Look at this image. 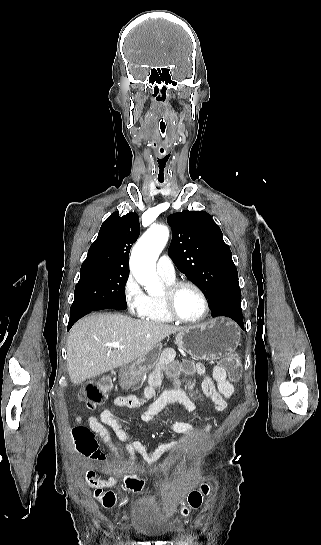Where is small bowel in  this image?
<instances>
[{
    "label": "small bowel",
    "mask_w": 321,
    "mask_h": 545,
    "mask_svg": "<svg viewBox=\"0 0 321 545\" xmlns=\"http://www.w3.org/2000/svg\"><path fill=\"white\" fill-rule=\"evenodd\" d=\"M195 370L200 376H202L201 389L203 394L213 401V403L215 404V408L218 411H223L226 408L227 400L235 393L233 379L229 378L225 369L219 365L213 368L212 378L206 375L204 367L199 363L195 365ZM158 378V374L154 378H152L151 386L144 391L142 396H117L114 399V404L118 407H138L143 402L154 396V386L157 385ZM185 387L195 399L198 398V394L194 390V384L192 381L186 380ZM172 402L182 404L191 413L195 411V405L193 400L182 390L173 389L165 392L162 396H160L157 400L150 404L143 411L141 415L142 420L150 424H156V415L168 403ZM88 424L90 429L101 437L106 447L113 454H117L116 448L111 441V436L107 427L111 428L115 435L125 443V449L128 452L132 463L137 465L140 464V461L142 460L146 465L152 467L158 462L164 452L176 449L182 443H185L187 441H172L162 444L151 455H148L145 447L140 441H128V435L114 418L111 409L103 410L100 415V420L95 417H90L88 419ZM167 427L176 433L184 434L188 437H193L195 434L194 428L187 423L171 422L167 425ZM207 429L211 430V427L207 426ZM97 457L102 460V456L100 454L97 455ZM87 482L91 487L94 488H113L118 483V477L111 476L106 479H99L95 477V474L92 471H90L87 475Z\"/></svg>",
    "instance_id": "1"
}]
</instances>
